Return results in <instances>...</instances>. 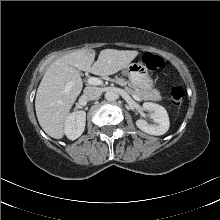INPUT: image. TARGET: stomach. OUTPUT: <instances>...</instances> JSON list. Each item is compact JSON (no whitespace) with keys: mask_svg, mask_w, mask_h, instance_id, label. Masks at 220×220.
<instances>
[{"mask_svg":"<svg viewBox=\"0 0 220 220\" xmlns=\"http://www.w3.org/2000/svg\"><path fill=\"white\" fill-rule=\"evenodd\" d=\"M125 73L131 84L145 92L157 91L154 88V80L150 77L146 66L142 63H131L125 68Z\"/></svg>","mask_w":220,"mask_h":220,"instance_id":"0dacf381","label":"stomach"}]
</instances>
